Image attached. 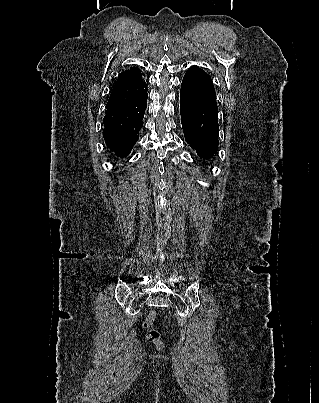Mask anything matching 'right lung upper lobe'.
<instances>
[{
    "instance_id": "obj_1",
    "label": "right lung upper lobe",
    "mask_w": 319,
    "mask_h": 403,
    "mask_svg": "<svg viewBox=\"0 0 319 403\" xmlns=\"http://www.w3.org/2000/svg\"><path fill=\"white\" fill-rule=\"evenodd\" d=\"M145 75L134 66L123 71L112 89L106 107H112L126 103L147 91V83L143 79Z\"/></svg>"
}]
</instances>
